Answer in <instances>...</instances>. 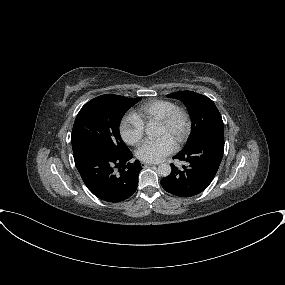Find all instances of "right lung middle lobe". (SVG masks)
<instances>
[{"label": "right lung middle lobe", "instance_id": "obj_1", "mask_svg": "<svg viewBox=\"0 0 285 285\" xmlns=\"http://www.w3.org/2000/svg\"><path fill=\"white\" fill-rule=\"evenodd\" d=\"M140 100L108 94L86 103L74 122L71 135L73 150L88 146L112 154L128 152L121 139L119 125L127 110Z\"/></svg>", "mask_w": 285, "mask_h": 285}]
</instances>
